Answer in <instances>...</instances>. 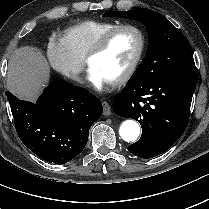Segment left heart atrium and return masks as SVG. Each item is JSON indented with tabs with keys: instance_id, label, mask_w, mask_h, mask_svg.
Segmentation results:
<instances>
[{
	"instance_id": "left-heart-atrium-1",
	"label": "left heart atrium",
	"mask_w": 209,
	"mask_h": 209,
	"mask_svg": "<svg viewBox=\"0 0 209 209\" xmlns=\"http://www.w3.org/2000/svg\"><path fill=\"white\" fill-rule=\"evenodd\" d=\"M87 81L97 89L102 88L108 80L94 67L90 66L86 76Z\"/></svg>"
}]
</instances>
